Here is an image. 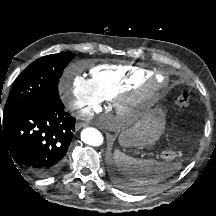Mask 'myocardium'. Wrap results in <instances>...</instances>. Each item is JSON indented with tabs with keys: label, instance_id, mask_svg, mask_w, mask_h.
I'll return each instance as SVG.
<instances>
[{
	"label": "myocardium",
	"instance_id": "myocardium-1",
	"mask_svg": "<svg viewBox=\"0 0 216 216\" xmlns=\"http://www.w3.org/2000/svg\"><path fill=\"white\" fill-rule=\"evenodd\" d=\"M166 85V79L160 75L155 74L152 76L150 81L140 88L139 92L142 94L146 91H159Z\"/></svg>",
	"mask_w": 216,
	"mask_h": 216
}]
</instances>
